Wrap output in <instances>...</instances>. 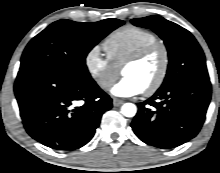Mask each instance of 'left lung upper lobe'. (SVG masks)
Segmentation results:
<instances>
[{
  "label": "left lung upper lobe",
  "instance_id": "obj_1",
  "mask_svg": "<svg viewBox=\"0 0 220 173\" xmlns=\"http://www.w3.org/2000/svg\"><path fill=\"white\" fill-rule=\"evenodd\" d=\"M131 23L150 28L164 40L167 47L169 65L159 89L188 81H209L204 53L189 31L160 16L136 18Z\"/></svg>",
  "mask_w": 220,
  "mask_h": 173
}]
</instances>
